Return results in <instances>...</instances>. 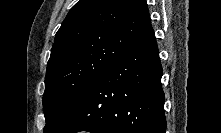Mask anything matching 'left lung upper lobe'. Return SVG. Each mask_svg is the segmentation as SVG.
<instances>
[{
  "instance_id": "1",
  "label": "left lung upper lobe",
  "mask_w": 221,
  "mask_h": 133,
  "mask_svg": "<svg viewBox=\"0 0 221 133\" xmlns=\"http://www.w3.org/2000/svg\"><path fill=\"white\" fill-rule=\"evenodd\" d=\"M152 30L145 0H80L56 33L48 61L43 133H56L95 79Z\"/></svg>"
}]
</instances>
